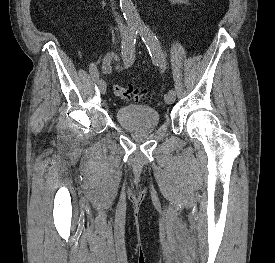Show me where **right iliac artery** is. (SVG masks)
<instances>
[{"instance_id": "82829eb1", "label": "right iliac artery", "mask_w": 275, "mask_h": 263, "mask_svg": "<svg viewBox=\"0 0 275 263\" xmlns=\"http://www.w3.org/2000/svg\"><path fill=\"white\" fill-rule=\"evenodd\" d=\"M138 35L137 28H131L127 38L122 42L121 53L125 68L132 65L135 58V43ZM89 72L94 81L99 80V72L94 63L90 64Z\"/></svg>"}]
</instances>
